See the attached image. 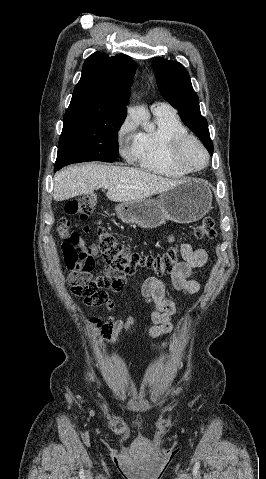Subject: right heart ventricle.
<instances>
[{"instance_id":"right-heart-ventricle-1","label":"right heart ventricle","mask_w":266,"mask_h":479,"mask_svg":"<svg viewBox=\"0 0 266 479\" xmlns=\"http://www.w3.org/2000/svg\"><path fill=\"white\" fill-rule=\"evenodd\" d=\"M154 111V110H153ZM156 127L134 136L131 160L142 169L165 177L177 178L188 172L170 158L172 140L188 130L173 110L154 111Z\"/></svg>"}]
</instances>
